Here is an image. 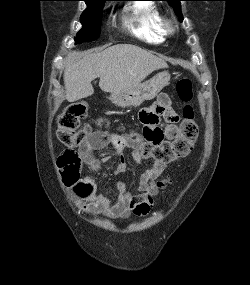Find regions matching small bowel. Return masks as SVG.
<instances>
[{
  "instance_id": "obj_1",
  "label": "small bowel",
  "mask_w": 250,
  "mask_h": 285,
  "mask_svg": "<svg viewBox=\"0 0 250 285\" xmlns=\"http://www.w3.org/2000/svg\"><path fill=\"white\" fill-rule=\"evenodd\" d=\"M162 116L167 121L165 128L160 127ZM139 118L144 125L142 134L92 133L80 146L81 157L93 170H98L108 163L109 158L104 157L97 160L92 154L110 143L119 157V162L113 168V172L120 174L127 168L124 157V151L127 148L133 149L132 156L135 162L140 164L141 157L138 150L143 141H149L154 144V147H159V144H166V141L174 139L178 134L175 125L178 117L169 108L168 100L164 96L153 106L143 109ZM166 168L167 163L155 160L149 168L140 174L137 194L129 192L126 184L119 182L116 185L117 196L110 198L97 192V186L92 176L82 178L70 185V192L79 200L80 208L89 214L103 215L113 219L126 218L130 214L144 216L150 212L155 196L166 183V181H159Z\"/></svg>"
}]
</instances>
